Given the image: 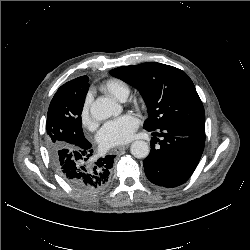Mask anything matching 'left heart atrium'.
I'll return each mask as SVG.
<instances>
[{"label":"left heart atrium","instance_id":"left-heart-atrium-1","mask_svg":"<svg viewBox=\"0 0 250 250\" xmlns=\"http://www.w3.org/2000/svg\"><path fill=\"white\" fill-rule=\"evenodd\" d=\"M138 119L133 114H125L104 124L98 133L100 146L108 149L130 141L138 127Z\"/></svg>","mask_w":250,"mask_h":250}]
</instances>
